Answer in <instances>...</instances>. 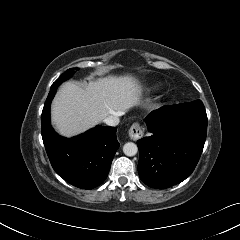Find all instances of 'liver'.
Segmentation results:
<instances>
[{
  "label": "liver",
  "mask_w": 240,
  "mask_h": 240,
  "mask_svg": "<svg viewBox=\"0 0 240 240\" xmlns=\"http://www.w3.org/2000/svg\"><path fill=\"white\" fill-rule=\"evenodd\" d=\"M141 92L139 82L129 74L99 78L85 86L66 82L53 100L52 124L65 137L80 134L137 106Z\"/></svg>",
  "instance_id": "6515ba94"
}]
</instances>
